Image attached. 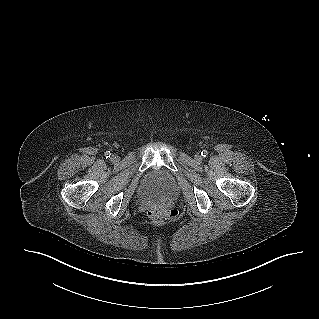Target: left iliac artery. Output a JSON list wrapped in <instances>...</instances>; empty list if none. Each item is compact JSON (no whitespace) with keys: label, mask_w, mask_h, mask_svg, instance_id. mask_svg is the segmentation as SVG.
<instances>
[{"label":"left iliac artery","mask_w":319,"mask_h":319,"mask_svg":"<svg viewBox=\"0 0 319 319\" xmlns=\"http://www.w3.org/2000/svg\"><path fill=\"white\" fill-rule=\"evenodd\" d=\"M201 155H202L203 157H206V156L208 155V152H207L206 150H203V151L201 152Z\"/></svg>","instance_id":"left-iliac-artery-1"}]
</instances>
